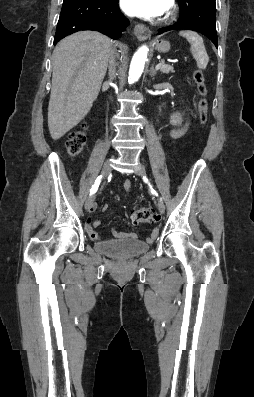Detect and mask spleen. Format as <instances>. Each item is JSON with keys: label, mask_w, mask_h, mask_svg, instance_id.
I'll return each instance as SVG.
<instances>
[{"label": "spleen", "mask_w": 254, "mask_h": 397, "mask_svg": "<svg viewBox=\"0 0 254 397\" xmlns=\"http://www.w3.org/2000/svg\"><path fill=\"white\" fill-rule=\"evenodd\" d=\"M179 35L185 37L190 43V51L197 62L198 68L206 69L209 62V57L207 55L202 37L196 32L189 30L180 31Z\"/></svg>", "instance_id": "3e777b00"}]
</instances>
